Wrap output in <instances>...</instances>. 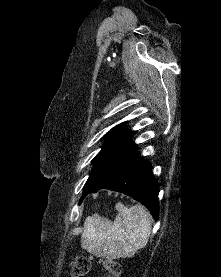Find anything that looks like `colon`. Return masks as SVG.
<instances>
[{
	"label": "colon",
	"instance_id": "1",
	"mask_svg": "<svg viewBox=\"0 0 221 277\" xmlns=\"http://www.w3.org/2000/svg\"><path fill=\"white\" fill-rule=\"evenodd\" d=\"M101 263L110 276L118 277L121 274V266L117 262L104 260ZM90 269L91 259L86 256H79L73 263L72 277H87Z\"/></svg>",
	"mask_w": 221,
	"mask_h": 277
}]
</instances>
